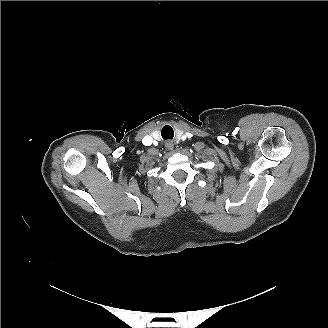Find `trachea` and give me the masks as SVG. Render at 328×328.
<instances>
[{"instance_id":"trachea-1","label":"trachea","mask_w":328,"mask_h":328,"mask_svg":"<svg viewBox=\"0 0 328 328\" xmlns=\"http://www.w3.org/2000/svg\"><path fill=\"white\" fill-rule=\"evenodd\" d=\"M161 135L164 140H171L174 136V133H173V131H167L164 127L161 131Z\"/></svg>"}]
</instances>
